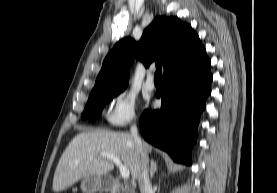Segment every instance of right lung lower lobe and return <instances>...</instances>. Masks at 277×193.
I'll return each instance as SVG.
<instances>
[{"instance_id":"right-lung-lower-lobe-1","label":"right lung lower lobe","mask_w":277,"mask_h":193,"mask_svg":"<svg viewBox=\"0 0 277 193\" xmlns=\"http://www.w3.org/2000/svg\"><path fill=\"white\" fill-rule=\"evenodd\" d=\"M210 60L203 47L193 57L164 74L161 109L146 110L140 118L145 140L168 152L176 162L191 164L190 151L206 99L211 93Z\"/></svg>"}]
</instances>
